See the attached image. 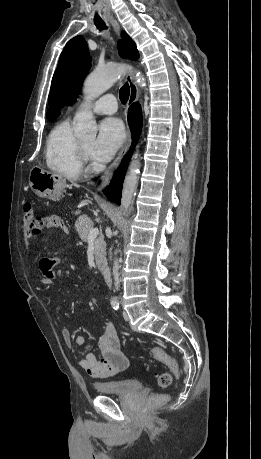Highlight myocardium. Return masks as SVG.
<instances>
[{
  "label": "myocardium",
  "instance_id": "1",
  "mask_svg": "<svg viewBox=\"0 0 261 459\" xmlns=\"http://www.w3.org/2000/svg\"><path fill=\"white\" fill-rule=\"evenodd\" d=\"M78 148L82 161L86 160L89 157L90 152L84 147V145L81 142L78 143Z\"/></svg>",
  "mask_w": 261,
  "mask_h": 459
}]
</instances>
